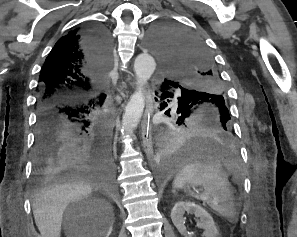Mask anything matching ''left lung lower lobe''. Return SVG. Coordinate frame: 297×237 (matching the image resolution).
I'll list each match as a JSON object with an SVG mask.
<instances>
[{
  "label": "left lung lower lobe",
  "instance_id": "0a47b994",
  "mask_svg": "<svg viewBox=\"0 0 297 237\" xmlns=\"http://www.w3.org/2000/svg\"><path fill=\"white\" fill-rule=\"evenodd\" d=\"M172 96L164 92L162 99ZM166 104V103H165ZM182 98L178 100V118L184 127L167 142L161 165L165 168L181 166L195 159L231 156L236 148L235 135L227 126L225 117L218 113L193 111L183 107Z\"/></svg>",
  "mask_w": 297,
  "mask_h": 237
}]
</instances>
